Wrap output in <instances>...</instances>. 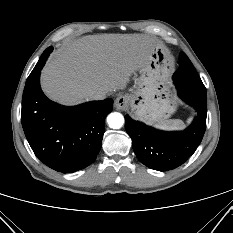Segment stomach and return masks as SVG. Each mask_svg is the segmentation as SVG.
Instances as JSON below:
<instances>
[{
	"label": "stomach",
	"instance_id": "1",
	"mask_svg": "<svg viewBox=\"0 0 233 233\" xmlns=\"http://www.w3.org/2000/svg\"><path fill=\"white\" fill-rule=\"evenodd\" d=\"M170 71V59L161 46H156L127 96L137 118L148 123H158L175 112L176 103L168 87Z\"/></svg>",
	"mask_w": 233,
	"mask_h": 233
}]
</instances>
